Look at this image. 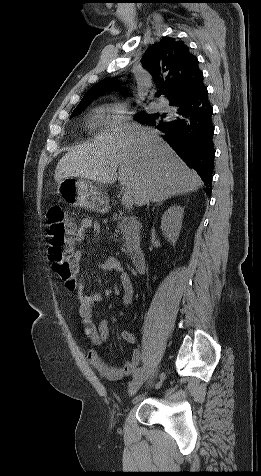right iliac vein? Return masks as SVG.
I'll return each instance as SVG.
<instances>
[{"label": "right iliac vein", "mask_w": 261, "mask_h": 476, "mask_svg": "<svg viewBox=\"0 0 261 476\" xmlns=\"http://www.w3.org/2000/svg\"><path fill=\"white\" fill-rule=\"evenodd\" d=\"M145 379H146V374L141 373L130 382L128 387L129 396H134L137 393L139 388L144 383Z\"/></svg>", "instance_id": "obj_1"}]
</instances>
